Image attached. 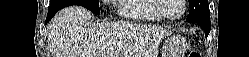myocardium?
Wrapping results in <instances>:
<instances>
[{"label":"myocardium","mask_w":249,"mask_h":57,"mask_svg":"<svg viewBox=\"0 0 249 57\" xmlns=\"http://www.w3.org/2000/svg\"><path fill=\"white\" fill-rule=\"evenodd\" d=\"M181 3V11L177 15H167L164 11L166 7V1L165 0H155V9L157 12L161 15L162 18L167 19V20H177L180 19L185 11H186V0H180Z\"/></svg>","instance_id":"myocardium-1"}]
</instances>
